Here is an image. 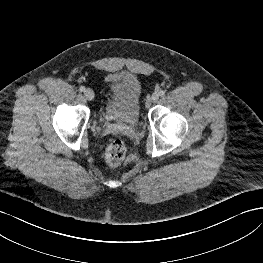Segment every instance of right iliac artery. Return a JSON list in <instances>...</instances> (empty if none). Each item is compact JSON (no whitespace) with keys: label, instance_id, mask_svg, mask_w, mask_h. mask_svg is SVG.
<instances>
[{"label":"right iliac artery","instance_id":"right-iliac-artery-1","mask_svg":"<svg viewBox=\"0 0 263 263\" xmlns=\"http://www.w3.org/2000/svg\"><path fill=\"white\" fill-rule=\"evenodd\" d=\"M79 90H80L81 92H84V91H85V87H84V86H81V87L79 88Z\"/></svg>","mask_w":263,"mask_h":263}]
</instances>
